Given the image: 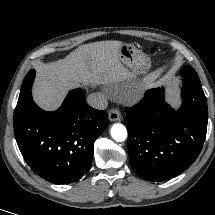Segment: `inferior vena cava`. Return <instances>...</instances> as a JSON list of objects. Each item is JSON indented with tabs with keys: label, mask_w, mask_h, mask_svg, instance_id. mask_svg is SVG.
Returning <instances> with one entry per match:
<instances>
[{
	"label": "inferior vena cava",
	"mask_w": 215,
	"mask_h": 215,
	"mask_svg": "<svg viewBox=\"0 0 215 215\" xmlns=\"http://www.w3.org/2000/svg\"><path fill=\"white\" fill-rule=\"evenodd\" d=\"M87 103L96 109L104 110L107 108L108 101L104 94L102 93H92L87 97Z\"/></svg>",
	"instance_id": "obj_1"
}]
</instances>
